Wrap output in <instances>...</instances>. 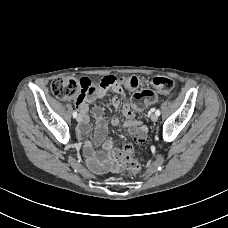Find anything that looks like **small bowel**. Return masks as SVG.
<instances>
[{
  "instance_id": "small-bowel-1",
  "label": "small bowel",
  "mask_w": 228,
  "mask_h": 228,
  "mask_svg": "<svg viewBox=\"0 0 228 228\" xmlns=\"http://www.w3.org/2000/svg\"><path fill=\"white\" fill-rule=\"evenodd\" d=\"M112 89L116 94L124 95V90L120 85H115L112 87ZM105 93L106 90H99L95 93L85 94L81 97L76 98L75 104L82 116L81 124L78 127L79 133H87L90 129L88 103L103 98ZM107 105H111L117 110L120 107L119 97L117 95H114L111 98V102ZM122 111L123 114L128 118V120L124 123V127L127 128L133 140L136 143L144 142L147 136V128L142 124L141 119L134 114L129 99H126ZM92 114L96 119V143L102 144L105 150L104 164L113 170L118 171L121 169V166L118 163V158L121 154L119 149L115 147L112 141L105 140L107 134V126L103 116V109L99 106H95L92 109ZM111 124L112 126H117L119 124V120L115 118L111 121Z\"/></svg>"
}]
</instances>
